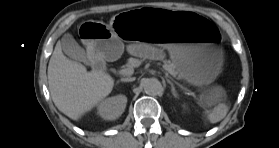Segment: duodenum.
Returning <instances> with one entry per match:
<instances>
[{
    "label": "duodenum",
    "mask_w": 279,
    "mask_h": 148,
    "mask_svg": "<svg viewBox=\"0 0 279 148\" xmlns=\"http://www.w3.org/2000/svg\"><path fill=\"white\" fill-rule=\"evenodd\" d=\"M92 66L95 70L102 71L106 69V64L104 60L100 57L92 59Z\"/></svg>",
    "instance_id": "obj_1"
}]
</instances>
